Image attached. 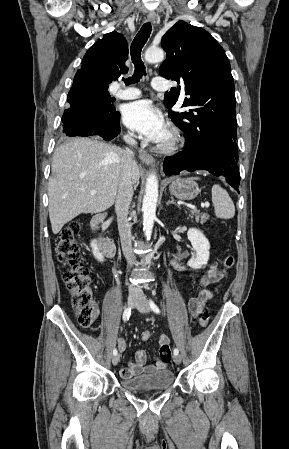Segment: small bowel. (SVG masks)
<instances>
[{"instance_id": "obj_1", "label": "small bowel", "mask_w": 289, "mask_h": 449, "mask_svg": "<svg viewBox=\"0 0 289 449\" xmlns=\"http://www.w3.org/2000/svg\"><path fill=\"white\" fill-rule=\"evenodd\" d=\"M173 267L178 271H185L186 266L173 261ZM225 278V275L217 269L216 264H211L207 269L205 275L199 281V290L196 295L190 298L188 303V308L193 316H198L204 306L213 298L216 290H210L206 287L210 284H215L221 282ZM169 337L167 335H160L158 337L157 343L159 348L160 358H155L154 364H147V354L144 350H140L135 355V360L129 362L126 367L120 369V376L122 378H131L139 375L143 372L150 373L156 370L166 369L167 365L170 363L172 352L171 344L169 343ZM118 348L120 351H125L127 349L126 342L119 338L117 341Z\"/></svg>"}]
</instances>
